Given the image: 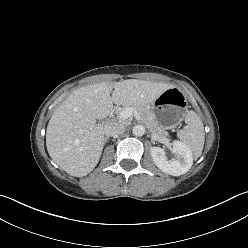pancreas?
<instances>
[{
    "instance_id": "cf45deb5",
    "label": "pancreas",
    "mask_w": 248,
    "mask_h": 248,
    "mask_svg": "<svg viewBox=\"0 0 248 248\" xmlns=\"http://www.w3.org/2000/svg\"><path fill=\"white\" fill-rule=\"evenodd\" d=\"M128 107H132L137 110V113L139 114L141 121L146 123L153 133L159 135L162 138L168 136V132L165 131L161 126H159V124L156 121H154L151 118L150 110L147 107L130 105V106H124L123 109L128 108ZM123 109L118 110L117 113L120 114V112Z\"/></svg>"
}]
</instances>
